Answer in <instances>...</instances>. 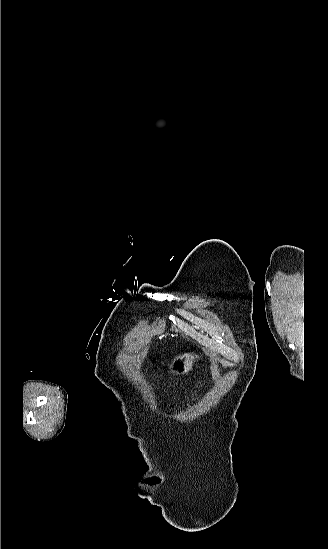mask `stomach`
Segmentation results:
<instances>
[{
  "label": "stomach",
  "mask_w": 328,
  "mask_h": 549,
  "mask_svg": "<svg viewBox=\"0 0 328 549\" xmlns=\"http://www.w3.org/2000/svg\"><path fill=\"white\" fill-rule=\"evenodd\" d=\"M199 361H203L201 355H197V353H183V355H178V357L172 359L167 367L168 373H170V375H176V377L189 375Z\"/></svg>",
  "instance_id": "stomach-1"
}]
</instances>
